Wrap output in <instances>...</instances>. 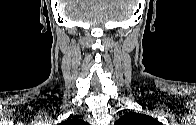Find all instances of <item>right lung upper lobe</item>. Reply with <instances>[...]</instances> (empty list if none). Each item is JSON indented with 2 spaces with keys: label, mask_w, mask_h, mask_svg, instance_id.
<instances>
[{
  "label": "right lung upper lobe",
  "mask_w": 196,
  "mask_h": 125,
  "mask_svg": "<svg viewBox=\"0 0 196 125\" xmlns=\"http://www.w3.org/2000/svg\"><path fill=\"white\" fill-rule=\"evenodd\" d=\"M72 121H73V120L68 119V120L64 121V124H68V123H70V122H72Z\"/></svg>",
  "instance_id": "obj_1"
}]
</instances>
